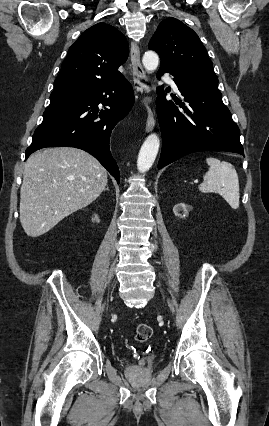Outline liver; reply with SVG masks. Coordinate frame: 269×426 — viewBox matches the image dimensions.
<instances>
[{
  "label": "liver",
  "instance_id": "liver-1",
  "mask_svg": "<svg viewBox=\"0 0 269 426\" xmlns=\"http://www.w3.org/2000/svg\"><path fill=\"white\" fill-rule=\"evenodd\" d=\"M107 171L89 153L72 147L40 150L24 168L20 222L39 237L68 215L88 206L107 185Z\"/></svg>",
  "mask_w": 269,
  "mask_h": 426
}]
</instances>
